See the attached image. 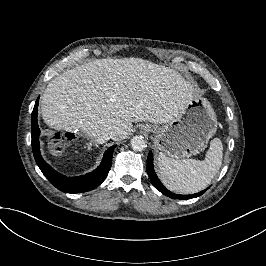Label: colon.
I'll return each instance as SVG.
<instances>
[{
  "label": "colon",
  "instance_id": "1",
  "mask_svg": "<svg viewBox=\"0 0 266 266\" xmlns=\"http://www.w3.org/2000/svg\"><path fill=\"white\" fill-rule=\"evenodd\" d=\"M48 147L51 151H62L65 148L64 136L55 133L53 136L49 138Z\"/></svg>",
  "mask_w": 266,
  "mask_h": 266
}]
</instances>
